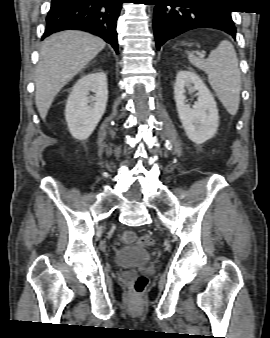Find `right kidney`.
<instances>
[{"instance_id":"1","label":"right kidney","mask_w":270,"mask_h":338,"mask_svg":"<svg viewBox=\"0 0 270 338\" xmlns=\"http://www.w3.org/2000/svg\"><path fill=\"white\" fill-rule=\"evenodd\" d=\"M107 99L105 73H91L77 81L65 108L67 125L74 138L86 140L92 134L105 112Z\"/></svg>"}]
</instances>
